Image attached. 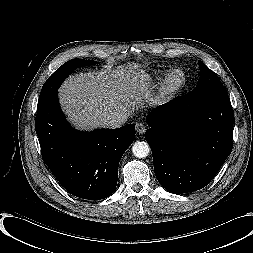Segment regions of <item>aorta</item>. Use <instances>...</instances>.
Returning <instances> with one entry per match:
<instances>
[{"mask_svg": "<svg viewBox=\"0 0 253 253\" xmlns=\"http://www.w3.org/2000/svg\"><path fill=\"white\" fill-rule=\"evenodd\" d=\"M132 152L138 158H145L150 152V147L144 141H137L132 146Z\"/></svg>", "mask_w": 253, "mask_h": 253, "instance_id": "aorta-1", "label": "aorta"}]
</instances>
